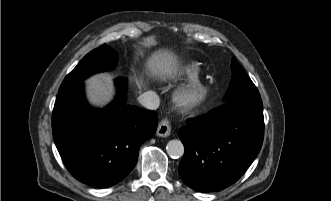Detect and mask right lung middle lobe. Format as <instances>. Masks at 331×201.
I'll list each match as a JSON object with an SVG mask.
<instances>
[{"instance_id": "dd1d6c3e", "label": "right lung middle lobe", "mask_w": 331, "mask_h": 201, "mask_svg": "<svg viewBox=\"0 0 331 201\" xmlns=\"http://www.w3.org/2000/svg\"><path fill=\"white\" fill-rule=\"evenodd\" d=\"M117 62L116 52L107 45H102L88 53L79 64L66 76L59 93L82 83L90 75L112 69Z\"/></svg>"}]
</instances>
